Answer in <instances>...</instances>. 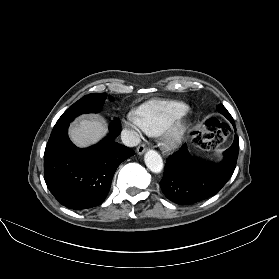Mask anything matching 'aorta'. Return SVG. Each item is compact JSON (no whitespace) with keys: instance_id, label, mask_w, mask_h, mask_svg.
Masks as SVG:
<instances>
[{"instance_id":"762f6f07","label":"aorta","mask_w":279,"mask_h":279,"mask_svg":"<svg viewBox=\"0 0 279 279\" xmlns=\"http://www.w3.org/2000/svg\"><path fill=\"white\" fill-rule=\"evenodd\" d=\"M145 165L154 173H160L163 169V160L155 150H148L144 156Z\"/></svg>"}]
</instances>
